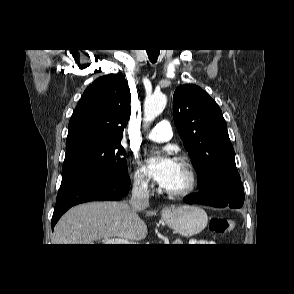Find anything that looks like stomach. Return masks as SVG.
<instances>
[{
	"label": "stomach",
	"mask_w": 294,
	"mask_h": 294,
	"mask_svg": "<svg viewBox=\"0 0 294 294\" xmlns=\"http://www.w3.org/2000/svg\"><path fill=\"white\" fill-rule=\"evenodd\" d=\"M165 223L180 235L190 237L200 233L208 223L206 212L198 206L183 205L163 211Z\"/></svg>",
	"instance_id": "stomach-1"
}]
</instances>
